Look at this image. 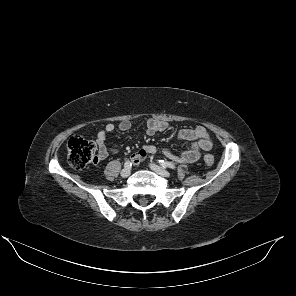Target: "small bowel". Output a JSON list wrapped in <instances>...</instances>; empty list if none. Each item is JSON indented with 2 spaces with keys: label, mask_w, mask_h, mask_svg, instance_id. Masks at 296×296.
Listing matches in <instances>:
<instances>
[{
  "label": "small bowel",
  "mask_w": 296,
  "mask_h": 296,
  "mask_svg": "<svg viewBox=\"0 0 296 296\" xmlns=\"http://www.w3.org/2000/svg\"><path fill=\"white\" fill-rule=\"evenodd\" d=\"M168 127L167 122L147 118L145 121V129L148 135H154L155 133L165 131ZM118 130L121 132H127L132 128V122L130 120L121 121L118 126ZM116 129V126L112 123L107 124L97 134L96 143L99 148V159H105L108 155L117 152L114 147L106 145L107 136ZM180 140L191 141V146L184 150L180 155L174 154L169 149H164L163 153L169 159L178 163H192L200 158L202 151H209L212 148V140L205 127L197 126L195 129H183L178 133ZM158 149L155 145L148 144L143 146L138 152L133 154L132 162L134 165L139 166L143 163L147 156L157 153Z\"/></svg>",
  "instance_id": "c3829d8e"
}]
</instances>
